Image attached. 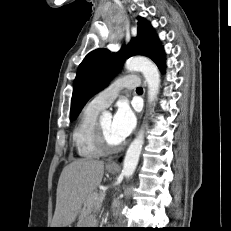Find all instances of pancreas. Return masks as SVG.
<instances>
[{
    "mask_svg": "<svg viewBox=\"0 0 231 231\" xmlns=\"http://www.w3.org/2000/svg\"><path fill=\"white\" fill-rule=\"evenodd\" d=\"M104 197H105V193L102 191L93 192L88 197L86 204L88 207L100 205L102 203Z\"/></svg>",
    "mask_w": 231,
    "mask_h": 231,
    "instance_id": "pancreas-1",
    "label": "pancreas"
}]
</instances>
